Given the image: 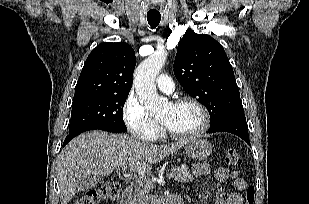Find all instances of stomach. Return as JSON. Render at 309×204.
Returning <instances> with one entry per match:
<instances>
[{
  "mask_svg": "<svg viewBox=\"0 0 309 204\" xmlns=\"http://www.w3.org/2000/svg\"><path fill=\"white\" fill-rule=\"evenodd\" d=\"M185 151L191 159L205 160L212 153V145L203 138H192L187 141Z\"/></svg>",
  "mask_w": 309,
  "mask_h": 204,
  "instance_id": "obj_1",
  "label": "stomach"
}]
</instances>
